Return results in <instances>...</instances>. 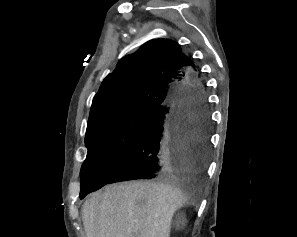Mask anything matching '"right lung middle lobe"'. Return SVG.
Wrapping results in <instances>:
<instances>
[{
    "instance_id": "dd1d6c3e",
    "label": "right lung middle lobe",
    "mask_w": 297,
    "mask_h": 237,
    "mask_svg": "<svg viewBox=\"0 0 297 237\" xmlns=\"http://www.w3.org/2000/svg\"><path fill=\"white\" fill-rule=\"evenodd\" d=\"M151 112L141 111L104 119L86 130L88 148L81 176L80 198L102 187L105 178L131 148Z\"/></svg>"
}]
</instances>
